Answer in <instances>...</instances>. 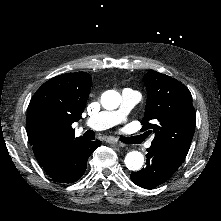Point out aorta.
I'll return each instance as SVG.
<instances>
[{"label":"aorta","instance_id":"aorta-1","mask_svg":"<svg viewBox=\"0 0 221 221\" xmlns=\"http://www.w3.org/2000/svg\"><path fill=\"white\" fill-rule=\"evenodd\" d=\"M120 102L121 96L116 91L106 92L101 96V104L107 110L116 109ZM124 162L129 170L138 171L144 165V156L139 151H131L126 154Z\"/></svg>","mask_w":221,"mask_h":221}]
</instances>
